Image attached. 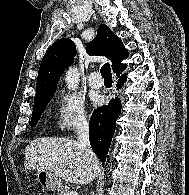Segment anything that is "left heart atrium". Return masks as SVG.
I'll use <instances>...</instances> for the list:
<instances>
[{"instance_id": "1", "label": "left heart atrium", "mask_w": 189, "mask_h": 195, "mask_svg": "<svg viewBox=\"0 0 189 195\" xmlns=\"http://www.w3.org/2000/svg\"><path fill=\"white\" fill-rule=\"evenodd\" d=\"M92 101L95 105L99 104L101 102V97L97 94L92 95Z\"/></svg>"}]
</instances>
